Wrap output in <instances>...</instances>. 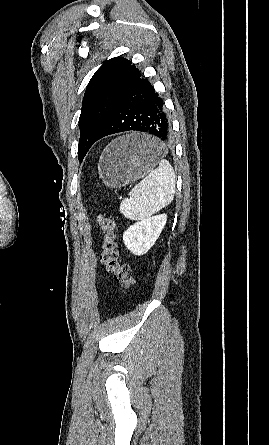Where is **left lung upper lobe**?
Here are the masks:
<instances>
[{
	"label": "left lung upper lobe",
	"mask_w": 269,
	"mask_h": 445,
	"mask_svg": "<svg viewBox=\"0 0 269 445\" xmlns=\"http://www.w3.org/2000/svg\"><path fill=\"white\" fill-rule=\"evenodd\" d=\"M136 67L123 57L105 61L89 81L79 118L81 161L103 129Z\"/></svg>",
	"instance_id": "obj_1"
}]
</instances>
